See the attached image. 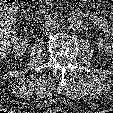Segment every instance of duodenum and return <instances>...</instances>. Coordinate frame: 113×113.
Segmentation results:
<instances>
[{"instance_id": "obj_1", "label": "duodenum", "mask_w": 113, "mask_h": 113, "mask_svg": "<svg viewBox=\"0 0 113 113\" xmlns=\"http://www.w3.org/2000/svg\"><path fill=\"white\" fill-rule=\"evenodd\" d=\"M42 17H47V14L46 13H42Z\"/></svg>"}]
</instances>
